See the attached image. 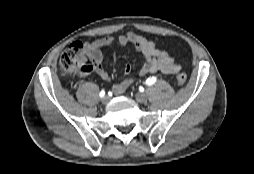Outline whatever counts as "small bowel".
Here are the masks:
<instances>
[{
	"instance_id": "c3829d8e",
	"label": "small bowel",
	"mask_w": 254,
	"mask_h": 174,
	"mask_svg": "<svg viewBox=\"0 0 254 174\" xmlns=\"http://www.w3.org/2000/svg\"><path fill=\"white\" fill-rule=\"evenodd\" d=\"M115 44L121 46L131 44L143 56L144 62L140 70L141 75L157 72L175 74L181 70V65L175 62L168 52L158 49L155 42L135 33H127L118 37H103L85 44L86 51L92 61V71L103 80H108L110 74L103 65L104 55L102 49ZM131 71L132 65L127 64L124 68L126 77L113 85V93L120 95L129 88L133 82V79L128 77Z\"/></svg>"
}]
</instances>
